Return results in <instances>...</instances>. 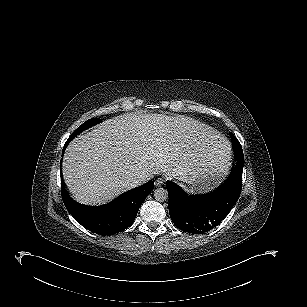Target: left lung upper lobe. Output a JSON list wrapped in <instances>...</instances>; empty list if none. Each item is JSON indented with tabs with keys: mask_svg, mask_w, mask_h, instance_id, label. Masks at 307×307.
I'll return each instance as SVG.
<instances>
[{
	"mask_svg": "<svg viewBox=\"0 0 307 307\" xmlns=\"http://www.w3.org/2000/svg\"><path fill=\"white\" fill-rule=\"evenodd\" d=\"M230 137L236 160H244L243 150L238 139L232 133H230Z\"/></svg>",
	"mask_w": 307,
	"mask_h": 307,
	"instance_id": "left-lung-upper-lobe-1",
	"label": "left lung upper lobe"
}]
</instances>
